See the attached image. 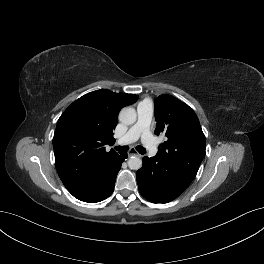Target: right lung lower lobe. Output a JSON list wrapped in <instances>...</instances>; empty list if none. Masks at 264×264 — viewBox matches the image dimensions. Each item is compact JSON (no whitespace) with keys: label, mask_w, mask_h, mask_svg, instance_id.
Here are the masks:
<instances>
[{"label":"right lung lower lobe","mask_w":264,"mask_h":264,"mask_svg":"<svg viewBox=\"0 0 264 264\" xmlns=\"http://www.w3.org/2000/svg\"><path fill=\"white\" fill-rule=\"evenodd\" d=\"M127 158L126 153H121L119 154L113 161L108 174H107V184L104 190L101 192L100 195H98L96 198H94L91 201H88L90 203H95V202H100L107 197L111 195V193L114 191V185H115V180H116V175L118 174L122 162Z\"/></svg>","instance_id":"1"}]
</instances>
